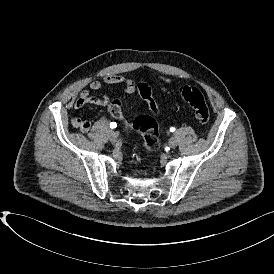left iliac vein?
I'll list each match as a JSON object with an SVG mask.
<instances>
[{
	"label": "left iliac vein",
	"instance_id": "1",
	"mask_svg": "<svg viewBox=\"0 0 274 274\" xmlns=\"http://www.w3.org/2000/svg\"><path fill=\"white\" fill-rule=\"evenodd\" d=\"M168 143L170 148H175L178 144L177 139L175 137H171Z\"/></svg>",
	"mask_w": 274,
	"mask_h": 274
}]
</instances>
